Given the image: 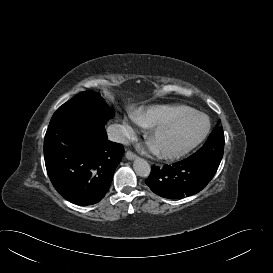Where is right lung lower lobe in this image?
<instances>
[{
  "instance_id": "1",
  "label": "right lung lower lobe",
  "mask_w": 273,
  "mask_h": 273,
  "mask_svg": "<svg viewBox=\"0 0 273 273\" xmlns=\"http://www.w3.org/2000/svg\"><path fill=\"white\" fill-rule=\"evenodd\" d=\"M124 154L107 139L104 124L67 114L53 116L44 139L48 176L71 203L87 206L107 193Z\"/></svg>"
}]
</instances>
